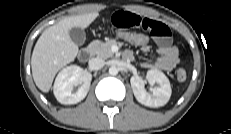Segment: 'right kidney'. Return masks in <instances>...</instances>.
<instances>
[{"label":"right kidney","mask_w":231,"mask_h":134,"mask_svg":"<svg viewBox=\"0 0 231 134\" xmlns=\"http://www.w3.org/2000/svg\"><path fill=\"white\" fill-rule=\"evenodd\" d=\"M92 76L76 65L63 68L55 79L53 92L58 102L65 105L83 100L90 88ZM80 85L76 92L74 87Z\"/></svg>","instance_id":"right-kidney-1"}]
</instances>
